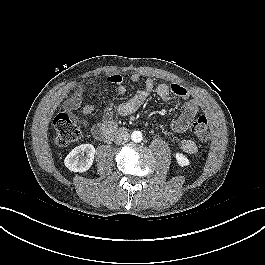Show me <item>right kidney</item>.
Masks as SVG:
<instances>
[{
  "label": "right kidney",
  "instance_id": "obj_1",
  "mask_svg": "<svg viewBox=\"0 0 265 265\" xmlns=\"http://www.w3.org/2000/svg\"><path fill=\"white\" fill-rule=\"evenodd\" d=\"M95 148L92 144H82L72 149L64 159L65 166L73 172H85L93 164Z\"/></svg>",
  "mask_w": 265,
  "mask_h": 265
}]
</instances>
